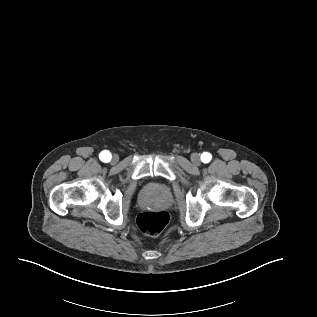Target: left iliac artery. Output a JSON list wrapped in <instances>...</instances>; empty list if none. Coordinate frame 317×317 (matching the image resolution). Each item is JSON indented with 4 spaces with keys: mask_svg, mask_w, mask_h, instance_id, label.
Instances as JSON below:
<instances>
[{
    "mask_svg": "<svg viewBox=\"0 0 317 317\" xmlns=\"http://www.w3.org/2000/svg\"><path fill=\"white\" fill-rule=\"evenodd\" d=\"M212 159V155L208 152H204L202 155H201V160L202 162L204 163H208L210 162V160Z\"/></svg>",
    "mask_w": 317,
    "mask_h": 317,
    "instance_id": "left-iliac-artery-1",
    "label": "left iliac artery"
}]
</instances>
